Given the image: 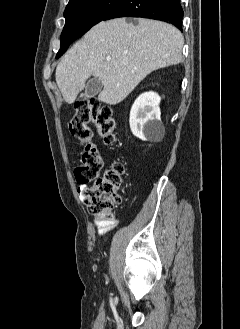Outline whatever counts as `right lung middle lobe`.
I'll use <instances>...</instances> for the list:
<instances>
[{"label": "right lung middle lobe", "mask_w": 240, "mask_h": 329, "mask_svg": "<svg viewBox=\"0 0 240 329\" xmlns=\"http://www.w3.org/2000/svg\"><path fill=\"white\" fill-rule=\"evenodd\" d=\"M121 0H74L64 11L66 23L61 34V48L56 58L65 53L68 46L99 23Z\"/></svg>", "instance_id": "1"}]
</instances>
